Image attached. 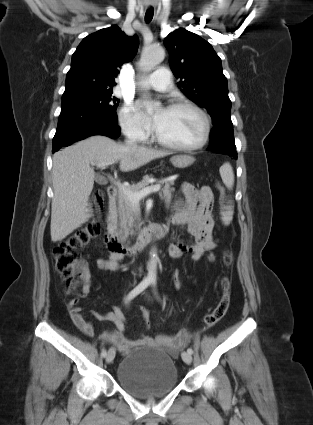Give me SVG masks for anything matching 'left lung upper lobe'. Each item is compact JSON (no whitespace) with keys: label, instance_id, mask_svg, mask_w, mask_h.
<instances>
[{"label":"left lung upper lobe","instance_id":"obj_1","mask_svg":"<svg viewBox=\"0 0 313 425\" xmlns=\"http://www.w3.org/2000/svg\"><path fill=\"white\" fill-rule=\"evenodd\" d=\"M164 44L182 92L207 109L214 127L232 126L227 79L222 72L221 59L213 47L183 28L171 32Z\"/></svg>","mask_w":313,"mask_h":425}]
</instances>
